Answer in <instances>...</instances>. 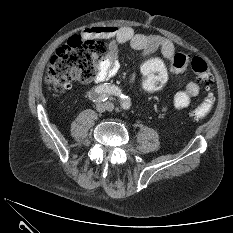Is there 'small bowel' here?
Wrapping results in <instances>:
<instances>
[{
  "label": "small bowel",
  "instance_id": "1",
  "mask_svg": "<svg viewBox=\"0 0 233 233\" xmlns=\"http://www.w3.org/2000/svg\"><path fill=\"white\" fill-rule=\"evenodd\" d=\"M86 36H101L112 38L106 57L99 63L95 83L99 86L112 78L119 69L117 47L122 44H129L134 50L141 53L143 57H148L156 51H160L165 60L171 59L175 53L174 44L167 38L158 35H145L135 32L131 27L98 26L86 29ZM135 75H131L129 82H133ZM106 84V83H105ZM200 92L199 84L190 81L185 88L176 92L173 96V105L176 109L186 108L190 101Z\"/></svg>",
  "mask_w": 233,
  "mask_h": 233
}]
</instances>
